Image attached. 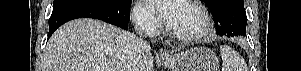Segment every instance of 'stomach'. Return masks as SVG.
I'll return each mask as SVG.
<instances>
[{
  "instance_id": "obj_1",
  "label": "stomach",
  "mask_w": 301,
  "mask_h": 71,
  "mask_svg": "<svg viewBox=\"0 0 301 71\" xmlns=\"http://www.w3.org/2000/svg\"><path fill=\"white\" fill-rule=\"evenodd\" d=\"M163 62L171 71H219L218 58L205 47L191 48L163 59Z\"/></svg>"
}]
</instances>
